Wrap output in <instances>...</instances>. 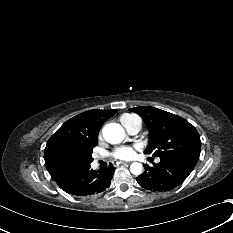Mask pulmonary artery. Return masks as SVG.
Instances as JSON below:
<instances>
[{"mask_svg": "<svg viewBox=\"0 0 233 233\" xmlns=\"http://www.w3.org/2000/svg\"><path fill=\"white\" fill-rule=\"evenodd\" d=\"M126 129H127V131H128L130 134H132V135L137 134V133L140 131V129H141V120H140V118L137 117V118L133 119V120L129 123V125L126 127ZM97 159H98V158H97ZM156 161L159 162L160 159H157Z\"/></svg>", "mask_w": 233, "mask_h": 233, "instance_id": "obj_1", "label": "pulmonary artery"}]
</instances>
